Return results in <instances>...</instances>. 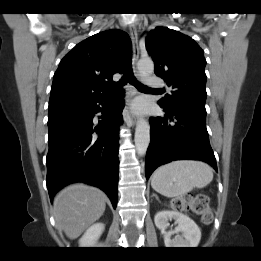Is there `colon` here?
Listing matches in <instances>:
<instances>
[{
    "instance_id": "5ec220e1",
    "label": "colon",
    "mask_w": 261,
    "mask_h": 261,
    "mask_svg": "<svg viewBox=\"0 0 261 261\" xmlns=\"http://www.w3.org/2000/svg\"><path fill=\"white\" fill-rule=\"evenodd\" d=\"M169 205L175 210L190 209L196 215L201 217L203 223H210L212 221L209 199L205 194L174 197L170 200Z\"/></svg>"
}]
</instances>
